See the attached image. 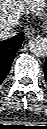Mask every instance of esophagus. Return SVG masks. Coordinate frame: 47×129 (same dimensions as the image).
<instances>
[{
    "mask_svg": "<svg viewBox=\"0 0 47 129\" xmlns=\"http://www.w3.org/2000/svg\"><path fill=\"white\" fill-rule=\"evenodd\" d=\"M35 34V29L32 26H27L25 28V36L26 38H31Z\"/></svg>",
    "mask_w": 47,
    "mask_h": 129,
    "instance_id": "obj_1",
    "label": "esophagus"
}]
</instances>
